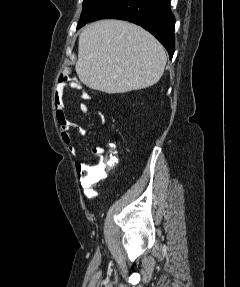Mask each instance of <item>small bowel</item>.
Listing matches in <instances>:
<instances>
[{"instance_id":"small-bowel-1","label":"small bowel","mask_w":240,"mask_h":287,"mask_svg":"<svg viewBox=\"0 0 240 287\" xmlns=\"http://www.w3.org/2000/svg\"><path fill=\"white\" fill-rule=\"evenodd\" d=\"M70 88L78 89L80 88V84L74 81L73 82L68 81L59 88L58 93L54 95V112H55L56 120L60 126L61 138L66 144L70 146V150H73L74 148L71 145L72 138L70 135V129L75 128L81 136H85L88 131L83 126L66 119L65 112H64V94ZM81 97L83 100L91 99L90 95L87 92H83L81 94ZM88 110L89 108L85 103L80 104L79 111L82 115H86L88 113ZM98 117H99L100 123L104 124L105 115L103 113H99ZM103 153H104V148L102 146H97L93 148V155L95 158L102 157Z\"/></svg>"}]
</instances>
